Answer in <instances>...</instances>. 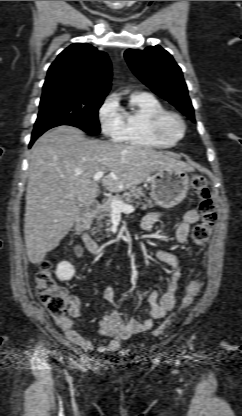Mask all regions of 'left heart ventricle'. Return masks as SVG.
I'll use <instances>...</instances> for the list:
<instances>
[{
	"label": "left heart ventricle",
	"instance_id": "1",
	"mask_svg": "<svg viewBox=\"0 0 242 416\" xmlns=\"http://www.w3.org/2000/svg\"><path fill=\"white\" fill-rule=\"evenodd\" d=\"M165 128L170 134L174 136L178 135L181 130L179 123L174 119H168Z\"/></svg>",
	"mask_w": 242,
	"mask_h": 416
}]
</instances>
